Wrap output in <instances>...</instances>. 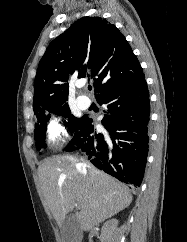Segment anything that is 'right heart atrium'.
<instances>
[{"mask_svg":"<svg viewBox=\"0 0 187 242\" xmlns=\"http://www.w3.org/2000/svg\"><path fill=\"white\" fill-rule=\"evenodd\" d=\"M47 136L52 144L64 142L66 138V129L60 119L54 118L50 121L47 128Z\"/></svg>","mask_w":187,"mask_h":242,"instance_id":"right-heart-atrium-1","label":"right heart atrium"}]
</instances>
